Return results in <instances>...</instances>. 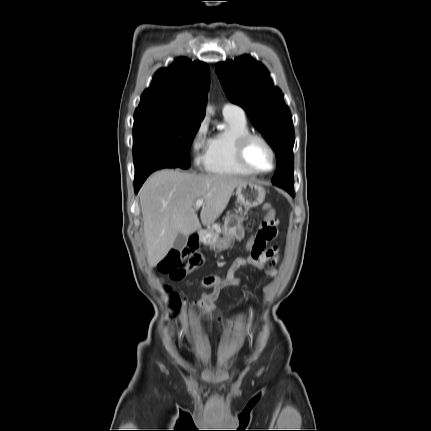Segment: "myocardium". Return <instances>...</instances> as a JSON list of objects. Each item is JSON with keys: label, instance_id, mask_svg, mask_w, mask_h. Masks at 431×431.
<instances>
[{"label": "myocardium", "instance_id": "f54148a6", "mask_svg": "<svg viewBox=\"0 0 431 431\" xmlns=\"http://www.w3.org/2000/svg\"><path fill=\"white\" fill-rule=\"evenodd\" d=\"M253 140L261 141L270 151L272 157V166L269 170H258L252 167L246 159V149L248 144ZM235 157L241 167L252 174L265 175L273 172L277 165V155L272 144L262 135L256 133H247L241 136L235 145Z\"/></svg>", "mask_w": 431, "mask_h": 431}]
</instances>
